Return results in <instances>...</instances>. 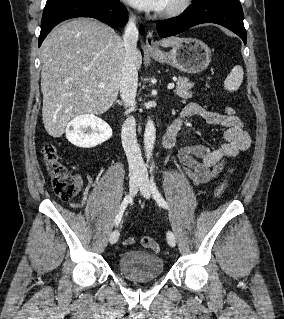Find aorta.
Listing matches in <instances>:
<instances>
[{"mask_svg":"<svg viewBox=\"0 0 284 319\" xmlns=\"http://www.w3.org/2000/svg\"><path fill=\"white\" fill-rule=\"evenodd\" d=\"M155 137H156L155 125L153 120L149 118L145 127V133H144V146H145L146 156L148 158L152 156L154 143H155Z\"/></svg>","mask_w":284,"mask_h":319,"instance_id":"obj_1","label":"aorta"}]
</instances>
